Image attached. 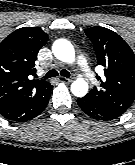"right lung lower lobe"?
<instances>
[{
    "label": "right lung lower lobe",
    "mask_w": 135,
    "mask_h": 165,
    "mask_svg": "<svg viewBox=\"0 0 135 165\" xmlns=\"http://www.w3.org/2000/svg\"><path fill=\"white\" fill-rule=\"evenodd\" d=\"M51 91L42 97H19L2 103L0 105V114L14 122L31 120L45 109Z\"/></svg>",
    "instance_id": "1"
}]
</instances>
